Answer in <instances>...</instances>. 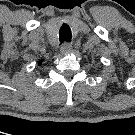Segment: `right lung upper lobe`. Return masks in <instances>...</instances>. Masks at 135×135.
Returning a JSON list of instances; mask_svg holds the SVG:
<instances>
[{
    "instance_id": "cb5924a9",
    "label": "right lung upper lobe",
    "mask_w": 135,
    "mask_h": 135,
    "mask_svg": "<svg viewBox=\"0 0 135 135\" xmlns=\"http://www.w3.org/2000/svg\"><path fill=\"white\" fill-rule=\"evenodd\" d=\"M42 62H43V60H40V61H39V65H42Z\"/></svg>"
}]
</instances>
